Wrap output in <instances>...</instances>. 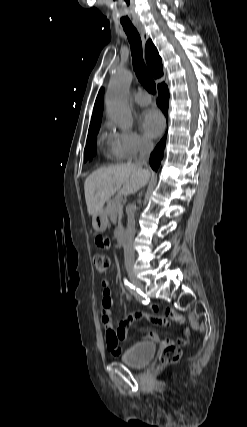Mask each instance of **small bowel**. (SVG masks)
Returning a JSON list of instances; mask_svg holds the SVG:
<instances>
[{
	"label": "small bowel",
	"mask_w": 247,
	"mask_h": 427,
	"mask_svg": "<svg viewBox=\"0 0 247 427\" xmlns=\"http://www.w3.org/2000/svg\"><path fill=\"white\" fill-rule=\"evenodd\" d=\"M94 244L99 250H106L111 248V241L104 237L98 236ZM102 285V317L101 322L106 332V345L109 351H111L114 355H118L121 352L120 342L127 341L128 336V327L134 320L137 319H147L150 322L167 325L169 321H173L182 326V329L178 335L179 343H186L189 339L190 330L185 325V318L177 313L174 309L167 308L165 310L164 315H157L159 309L158 307H153V313H145L142 311H137L133 313H129L125 316V318L119 323L117 329L113 327V299L110 290V281L108 279H103L101 282ZM146 340L148 341H159V336L155 332L148 333ZM173 340L170 337H166L163 340V344L169 345L172 344Z\"/></svg>",
	"instance_id": "small-bowel-1"
}]
</instances>
